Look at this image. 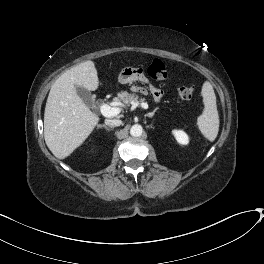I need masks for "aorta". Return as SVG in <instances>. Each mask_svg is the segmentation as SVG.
I'll return each mask as SVG.
<instances>
[{"mask_svg": "<svg viewBox=\"0 0 264 264\" xmlns=\"http://www.w3.org/2000/svg\"><path fill=\"white\" fill-rule=\"evenodd\" d=\"M142 132H143V128L141 125L139 124H134L131 129H130V134L131 136H134V137H139L142 135Z\"/></svg>", "mask_w": 264, "mask_h": 264, "instance_id": "1", "label": "aorta"}]
</instances>
